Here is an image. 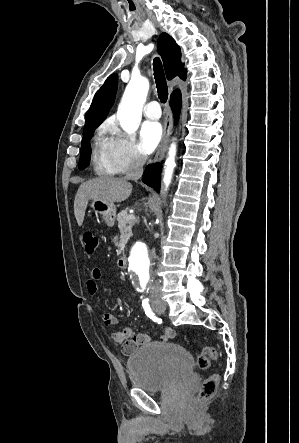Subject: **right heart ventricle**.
<instances>
[{
	"mask_svg": "<svg viewBox=\"0 0 299 443\" xmlns=\"http://www.w3.org/2000/svg\"><path fill=\"white\" fill-rule=\"evenodd\" d=\"M92 163L96 174L112 176L118 173L112 158L111 141L99 135L96 137L92 149Z\"/></svg>",
	"mask_w": 299,
	"mask_h": 443,
	"instance_id": "1",
	"label": "right heart ventricle"
}]
</instances>
